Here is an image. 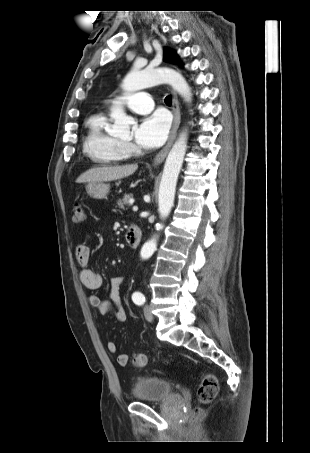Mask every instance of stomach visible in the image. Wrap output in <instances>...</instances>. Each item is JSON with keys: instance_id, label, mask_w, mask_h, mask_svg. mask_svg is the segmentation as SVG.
<instances>
[{"instance_id": "stomach-1", "label": "stomach", "mask_w": 310, "mask_h": 453, "mask_svg": "<svg viewBox=\"0 0 310 453\" xmlns=\"http://www.w3.org/2000/svg\"><path fill=\"white\" fill-rule=\"evenodd\" d=\"M87 194L96 199L105 198L109 192V185L103 182L89 183L86 187Z\"/></svg>"}]
</instances>
